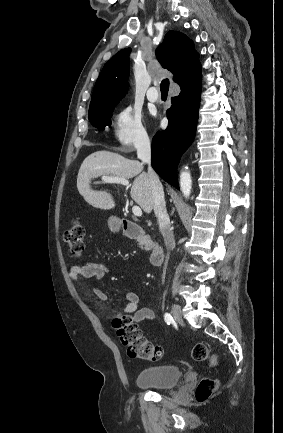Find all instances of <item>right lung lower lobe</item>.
<instances>
[{
	"mask_svg": "<svg viewBox=\"0 0 283 433\" xmlns=\"http://www.w3.org/2000/svg\"><path fill=\"white\" fill-rule=\"evenodd\" d=\"M202 77L180 86L167 110L168 128L159 131L152 141V167L168 183L178 188L176 168L180 157L194 140L200 105Z\"/></svg>",
	"mask_w": 283,
	"mask_h": 433,
	"instance_id": "obj_1",
	"label": "right lung lower lobe"
}]
</instances>
